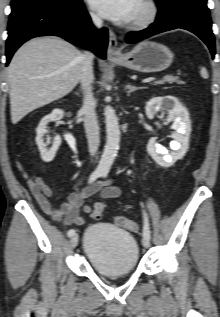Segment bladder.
<instances>
[{
  "mask_svg": "<svg viewBox=\"0 0 220 317\" xmlns=\"http://www.w3.org/2000/svg\"><path fill=\"white\" fill-rule=\"evenodd\" d=\"M83 253L93 270L106 276L131 274L140 259L134 236L108 224H96L86 229Z\"/></svg>",
  "mask_w": 220,
  "mask_h": 317,
  "instance_id": "31cf9c89",
  "label": "bladder"
}]
</instances>
